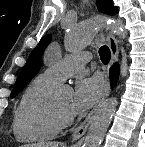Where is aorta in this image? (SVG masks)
Instances as JSON below:
<instances>
[{"label": "aorta", "mask_w": 145, "mask_h": 147, "mask_svg": "<svg viewBox=\"0 0 145 147\" xmlns=\"http://www.w3.org/2000/svg\"><path fill=\"white\" fill-rule=\"evenodd\" d=\"M103 25H107L117 35L125 38L126 32L124 31L123 23L120 20L106 18L95 21H86L68 28L65 35L66 48L73 52L91 44L97 29ZM117 105V98L112 97L103 102L97 109L85 137L83 147H100Z\"/></svg>", "instance_id": "762f6f07"}]
</instances>
